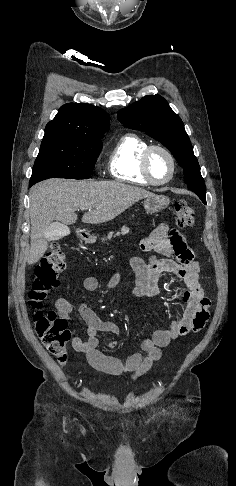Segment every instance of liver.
<instances>
[{"label":"liver","instance_id":"1","mask_svg":"<svg viewBox=\"0 0 236 486\" xmlns=\"http://www.w3.org/2000/svg\"><path fill=\"white\" fill-rule=\"evenodd\" d=\"M153 193L113 181H76L48 179L32 187L30 192L29 265L37 263L48 248V230L53 220L71 225L77 209L89 210L82 222L101 224L113 220L131 205Z\"/></svg>","mask_w":236,"mask_h":486}]
</instances>
